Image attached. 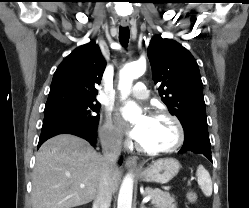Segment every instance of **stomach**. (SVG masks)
I'll return each instance as SVG.
<instances>
[{"instance_id":"0dacf381","label":"stomach","mask_w":249,"mask_h":208,"mask_svg":"<svg viewBox=\"0 0 249 208\" xmlns=\"http://www.w3.org/2000/svg\"><path fill=\"white\" fill-rule=\"evenodd\" d=\"M180 163L174 158H162L139 171L138 176L142 181L166 184L179 172Z\"/></svg>"}]
</instances>
